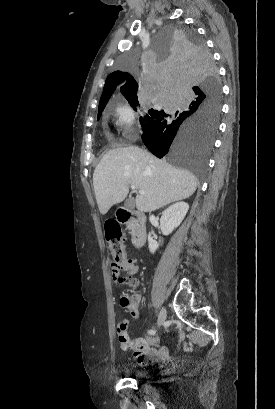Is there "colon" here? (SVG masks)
I'll list each match as a JSON object with an SVG mask.
<instances>
[{"instance_id":"1","label":"colon","mask_w":275,"mask_h":409,"mask_svg":"<svg viewBox=\"0 0 275 409\" xmlns=\"http://www.w3.org/2000/svg\"><path fill=\"white\" fill-rule=\"evenodd\" d=\"M103 230L104 238L110 247V251L116 257V261L111 262V269L120 273L125 269L126 265L131 263V258L129 256H124V240L121 226L119 222L110 220L105 223ZM122 283L127 284L129 287H135L137 285V281L132 278H123ZM122 304L130 313L134 311V309L139 311L140 298L136 295L125 296L122 298Z\"/></svg>"}]
</instances>
